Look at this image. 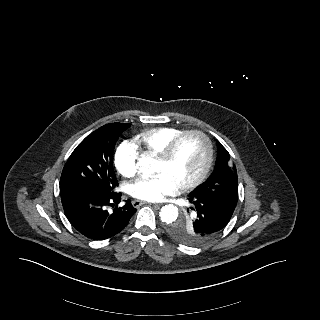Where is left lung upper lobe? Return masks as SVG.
Segmentation results:
<instances>
[{"mask_svg":"<svg viewBox=\"0 0 320 320\" xmlns=\"http://www.w3.org/2000/svg\"><path fill=\"white\" fill-rule=\"evenodd\" d=\"M218 153L215 169L207 181L200 184L191 194L203 195L235 208L238 201V179L235 165L228 151L218 141ZM192 204V203H191ZM182 218H178L168 226L169 234L177 241L187 245L205 242L199 234L200 214L191 205Z\"/></svg>","mask_w":320,"mask_h":320,"instance_id":"left-lung-upper-lobe-1","label":"left lung upper lobe"}]
</instances>
